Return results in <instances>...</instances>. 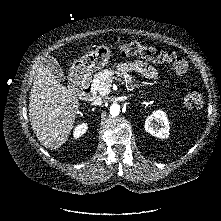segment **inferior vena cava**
Here are the masks:
<instances>
[{"label": "inferior vena cava", "mask_w": 221, "mask_h": 221, "mask_svg": "<svg viewBox=\"0 0 221 221\" xmlns=\"http://www.w3.org/2000/svg\"><path fill=\"white\" fill-rule=\"evenodd\" d=\"M96 103L101 104V103H102L101 98H98L97 101H96Z\"/></svg>", "instance_id": "inferior-vena-cava-1"}]
</instances>
